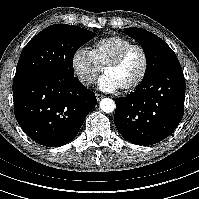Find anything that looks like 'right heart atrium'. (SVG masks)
<instances>
[{
  "mask_svg": "<svg viewBox=\"0 0 199 199\" xmlns=\"http://www.w3.org/2000/svg\"><path fill=\"white\" fill-rule=\"evenodd\" d=\"M71 66L78 81L87 87L93 85L100 74V68L96 65L91 53L84 47H79L74 51Z\"/></svg>",
  "mask_w": 199,
  "mask_h": 199,
  "instance_id": "obj_1",
  "label": "right heart atrium"
}]
</instances>
